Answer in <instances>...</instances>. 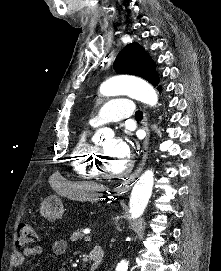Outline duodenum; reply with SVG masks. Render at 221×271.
<instances>
[{
    "instance_id": "1",
    "label": "duodenum",
    "mask_w": 221,
    "mask_h": 271,
    "mask_svg": "<svg viewBox=\"0 0 221 271\" xmlns=\"http://www.w3.org/2000/svg\"><path fill=\"white\" fill-rule=\"evenodd\" d=\"M104 258V251L101 248H93L89 254V259L91 261V271H95L99 268Z\"/></svg>"
}]
</instances>
